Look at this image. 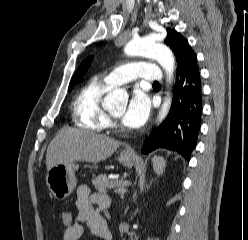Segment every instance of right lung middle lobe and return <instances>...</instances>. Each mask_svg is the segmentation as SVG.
Masks as SVG:
<instances>
[{"label": "right lung middle lobe", "instance_id": "right-lung-middle-lobe-1", "mask_svg": "<svg viewBox=\"0 0 248 240\" xmlns=\"http://www.w3.org/2000/svg\"><path fill=\"white\" fill-rule=\"evenodd\" d=\"M76 83H77V82H71V83H70L69 89H68L69 92L73 89V87H74V85H75Z\"/></svg>", "mask_w": 248, "mask_h": 240}]
</instances>
